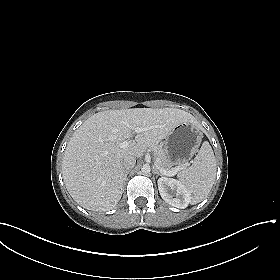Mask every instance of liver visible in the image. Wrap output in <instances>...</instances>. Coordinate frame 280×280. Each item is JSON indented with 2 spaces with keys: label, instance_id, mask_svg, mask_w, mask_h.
Masks as SVG:
<instances>
[{
  "label": "liver",
  "instance_id": "6515ba94",
  "mask_svg": "<svg viewBox=\"0 0 280 280\" xmlns=\"http://www.w3.org/2000/svg\"><path fill=\"white\" fill-rule=\"evenodd\" d=\"M183 122L196 120L176 108L107 110L89 117L74 132L63 156L62 175L71 197L88 210L113 209L123 193L124 158H140ZM136 127L145 130L127 148H120Z\"/></svg>",
  "mask_w": 280,
  "mask_h": 280
}]
</instances>
